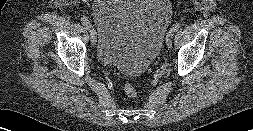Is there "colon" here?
<instances>
[{
    "mask_svg": "<svg viewBox=\"0 0 253 131\" xmlns=\"http://www.w3.org/2000/svg\"><path fill=\"white\" fill-rule=\"evenodd\" d=\"M123 88H124L125 94H126L128 97L134 98V97L137 96V90H136V88H135L132 84H130V83H125Z\"/></svg>",
    "mask_w": 253,
    "mask_h": 131,
    "instance_id": "colon-1",
    "label": "colon"
}]
</instances>
